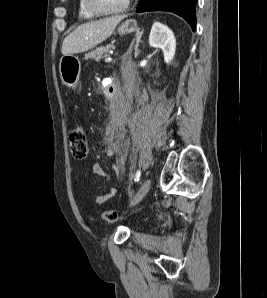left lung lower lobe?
Segmentation results:
<instances>
[{"label":"left lung lower lobe","instance_id":"1","mask_svg":"<svg viewBox=\"0 0 267 298\" xmlns=\"http://www.w3.org/2000/svg\"><path fill=\"white\" fill-rule=\"evenodd\" d=\"M197 0H140L137 12L169 11L183 17L195 31L196 15L195 5Z\"/></svg>","mask_w":267,"mask_h":298}]
</instances>
